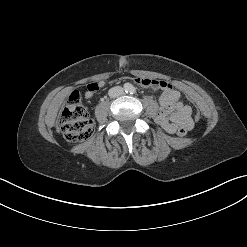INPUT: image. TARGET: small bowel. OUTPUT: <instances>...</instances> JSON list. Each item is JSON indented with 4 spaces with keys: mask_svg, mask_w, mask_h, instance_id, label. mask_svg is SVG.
<instances>
[{
    "mask_svg": "<svg viewBox=\"0 0 247 247\" xmlns=\"http://www.w3.org/2000/svg\"><path fill=\"white\" fill-rule=\"evenodd\" d=\"M135 82L141 87L162 91L159 98L160 110L157 116V122L166 132L173 134L179 127H184L187 130L193 127L191 117L192 108L180 100V92L174 89L170 83L140 77L135 78ZM104 86L105 82L103 80L91 83L90 87L84 93V97L90 99L94 92Z\"/></svg>",
    "mask_w": 247,
    "mask_h": 247,
    "instance_id": "obj_1",
    "label": "small bowel"
}]
</instances>
